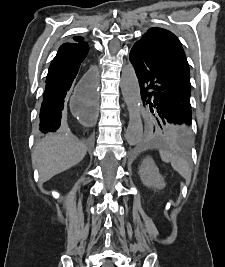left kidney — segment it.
Returning a JSON list of instances; mask_svg holds the SVG:
<instances>
[{
    "instance_id": "left-kidney-1",
    "label": "left kidney",
    "mask_w": 225,
    "mask_h": 267,
    "mask_svg": "<svg viewBox=\"0 0 225 267\" xmlns=\"http://www.w3.org/2000/svg\"><path fill=\"white\" fill-rule=\"evenodd\" d=\"M139 175L142 183L149 188L163 189L166 185L164 178L159 173V169L150 157L143 160L139 168Z\"/></svg>"
}]
</instances>
